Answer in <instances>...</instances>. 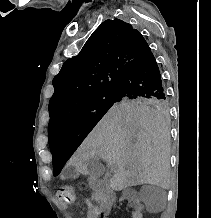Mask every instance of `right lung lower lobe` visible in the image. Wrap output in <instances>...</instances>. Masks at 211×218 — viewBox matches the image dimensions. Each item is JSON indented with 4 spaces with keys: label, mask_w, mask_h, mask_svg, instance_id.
<instances>
[{
    "label": "right lung lower lobe",
    "mask_w": 211,
    "mask_h": 218,
    "mask_svg": "<svg viewBox=\"0 0 211 218\" xmlns=\"http://www.w3.org/2000/svg\"><path fill=\"white\" fill-rule=\"evenodd\" d=\"M114 92L127 98H166L161 74L152 52L118 82Z\"/></svg>",
    "instance_id": "obj_1"
}]
</instances>
